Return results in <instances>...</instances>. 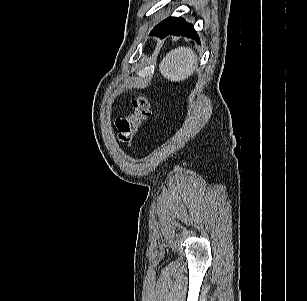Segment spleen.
I'll use <instances>...</instances> for the list:
<instances>
[{"label": "spleen", "instance_id": "3e777b00", "mask_svg": "<svg viewBox=\"0 0 307 301\" xmlns=\"http://www.w3.org/2000/svg\"><path fill=\"white\" fill-rule=\"evenodd\" d=\"M197 67V56L189 47L175 48L159 65L161 75L171 82H180L190 77Z\"/></svg>", "mask_w": 307, "mask_h": 301}]
</instances>
